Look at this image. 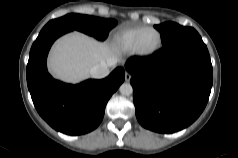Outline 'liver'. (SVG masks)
Returning a JSON list of instances; mask_svg holds the SVG:
<instances>
[{"instance_id":"6515ba94","label":"liver","mask_w":238,"mask_h":158,"mask_svg":"<svg viewBox=\"0 0 238 158\" xmlns=\"http://www.w3.org/2000/svg\"><path fill=\"white\" fill-rule=\"evenodd\" d=\"M117 60L114 50L107 43L74 32L54 44L49 69L55 77L76 83L87 78L93 66L112 61L109 67L113 68Z\"/></svg>"}]
</instances>
